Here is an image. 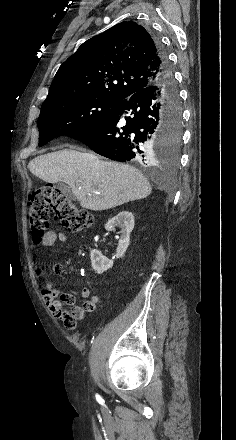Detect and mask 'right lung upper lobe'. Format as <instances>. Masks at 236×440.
Wrapping results in <instances>:
<instances>
[{
  "mask_svg": "<svg viewBox=\"0 0 236 440\" xmlns=\"http://www.w3.org/2000/svg\"><path fill=\"white\" fill-rule=\"evenodd\" d=\"M158 49L136 22H121L87 40L57 71L44 102L95 97L121 102L161 75Z\"/></svg>",
  "mask_w": 236,
  "mask_h": 440,
  "instance_id": "right-lung-upper-lobe-1",
  "label": "right lung upper lobe"
}]
</instances>
